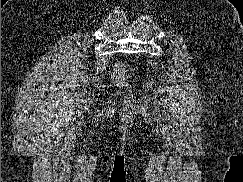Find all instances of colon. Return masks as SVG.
Returning <instances> with one entry per match:
<instances>
[{
  "instance_id": "5ec220e1",
  "label": "colon",
  "mask_w": 243,
  "mask_h": 182,
  "mask_svg": "<svg viewBox=\"0 0 243 182\" xmlns=\"http://www.w3.org/2000/svg\"><path fill=\"white\" fill-rule=\"evenodd\" d=\"M113 82L119 87L127 86V79L125 75V70L121 65H118L114 68L112 72Z\"/></svg>"
}]
</instances>
